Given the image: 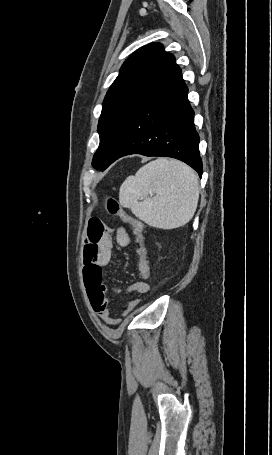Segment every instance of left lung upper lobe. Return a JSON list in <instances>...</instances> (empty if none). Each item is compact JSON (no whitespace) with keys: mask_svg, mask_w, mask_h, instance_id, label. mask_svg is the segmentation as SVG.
<instances>
[{"mask_svg":"<svg viewBox=\"0 0 272 455\" xmlns=\"http://www.w3.org/2000/svg\"><path fill=\"white\" fill-rule=\"evenodd\" d=\"M181 73L175 57L159 43L136 50L122 65L110 86L98 124L99 147L92 165L100 162L112 149L133 117Z\"/></svg>","mask_w":272,"mask_h":455,"instance_id":"obj_1","label":"left lung upper lobe"}]
</instances>
